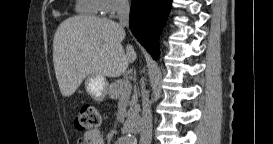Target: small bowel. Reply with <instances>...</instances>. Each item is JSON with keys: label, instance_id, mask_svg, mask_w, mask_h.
<instances>
[{"label": "small bowel", "instance_id": "c3829d8e", "mask_svg": "<svg viewBox=\"0 0 273 144\" xmlns=\"http://www.w3.org/2000/svg\"><path fill=\"white\" fill-rule=\"evenodd\" d=\"M76 144H104V136L100 130L94 129L79 137Z\"/></svg>", "mask_w": 273, "mask_h": 144}]
</instances>
